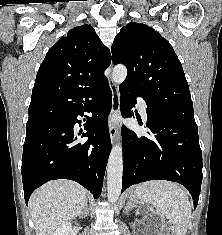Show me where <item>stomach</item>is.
I'll use <instances>...</instances> for the list:
<instances>
[{"instance_id": "0dacf381", "label": "stomach", "mask_w": 222, "mask_h": 235, "mask_svg": "<svg viewBox=\"0 0 222 235\" xmlns=\"http://www.w3.org/2000/svg\"><path fill=\"white\" fill-rule=\"evenodd\" d=\"M140 200V197L136 194V192L131 193L130 197H129V201L132 204L138 203Z\"/></svg>"}]
</instances>
